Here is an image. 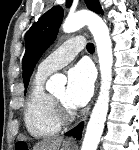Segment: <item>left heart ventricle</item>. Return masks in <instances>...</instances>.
Here are the masks:
<instances>
[{
    "label": "left heart ventricle",
    "mask_w": 139,
    "mask_h": 150,
    "mask_svg": "<svg viewBox=\"0 0 139 150\" xmlns=\"http://www.w3.org/2000/svg\"><path fill=\"white\" fill-rule=\"evenodd\" d=\"M52 96L57 99L59 102H61L64 106L67 108H71L67 101H66V89L65 88H60L57 91H55Z\"/></svg>",
    "instance_id": "obj_1"
}]
</instances>
